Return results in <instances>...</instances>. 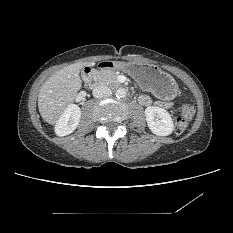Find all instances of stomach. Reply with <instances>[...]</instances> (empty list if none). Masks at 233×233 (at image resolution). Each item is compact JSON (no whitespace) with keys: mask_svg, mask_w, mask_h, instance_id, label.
Segmentation results:
<instances>
[{"mask_svg":"<svg viewBox=\"0 0 233 233\" xmlns=\"http://www.w3.org/2000/svg\"><path fill=\"white\" fill-rule=\"evenodd\" d=\"M118 69L130 75L143 89L161 99H172L178 92L174 78L157 65L140 62H117Z\"/></svg>","mask_w":233,"mask_h":233,"instance_id":"stomach-1","label":"stomach"}]
</instances>
